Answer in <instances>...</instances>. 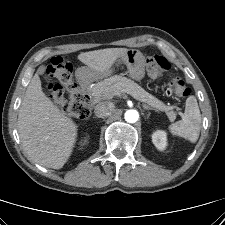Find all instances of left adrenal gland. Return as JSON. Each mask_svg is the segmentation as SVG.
<instances>
[{
  "label": "left adrenal gland",
  "mask_w": 225,
  "mask_h": 225,
  "mask_svg": "<svg viewBox=\"0 0 225 225\" xmlns=\"http://www.w3.org/2000/svg\"><path fill=\"white\" fill-rule=\"evenodd\" d=\"M143 107H144V109H146V110H153V108L147 106L146 104H144Z\"/></svg>",
  "instance_id": "obj_1"
}]
</instances>
